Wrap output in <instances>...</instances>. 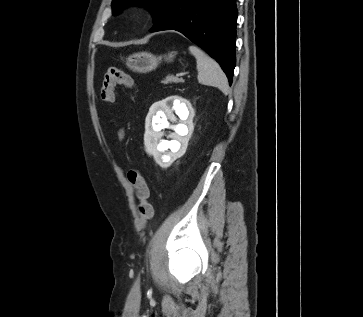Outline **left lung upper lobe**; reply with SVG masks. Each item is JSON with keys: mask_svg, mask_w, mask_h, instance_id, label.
Instances as JSON below:
<instances>
[{"mask_svg": "<svg viewBox=\"0 0 363 317\" xmlns=\"http://www.w3.org/2000/svg\"><path fill=\"white\" fill-rule=\"evenodd\" d=\"M167 1L168 0H113L112 13L113 15H116L126 5L137 4L148 7L153 13L154 20H156Z\"/></svg>", "mask_w": 363, "mask_h": 317, "instance_id": "left-lung-upper-lobe-1", "label": "left lung upper lobe"}]
</instances>
